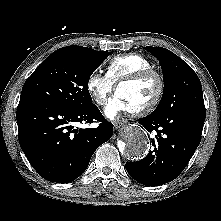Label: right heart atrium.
Segmentation results:
<instances>
[{
    "label": "right heart atrium",
    "instance_id": "1",
    "mask_svg": "<svg viewBox=\"0 0 221 221\" xmlns=\"http://www.w3.org/2000/svg\"><path fill=\"white\" fill-rule=\"evenodd\" d=\"M114 83L106 75L99 71L92 72L86 82V88L90 96L98 105H104L109 95L114 90Z\"/></svg>",
    "mask_w": 221,
    "mask_h": 221
}]
</instances>
